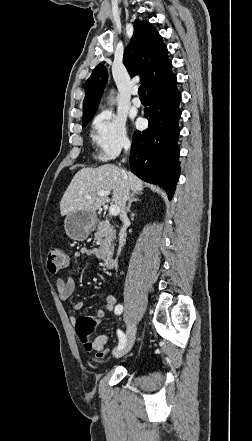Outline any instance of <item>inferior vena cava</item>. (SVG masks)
Masks as SVG:
<instances>
[{"mask_svg":"<svg viewBox=\"0 0 252 441\" xmlns=\"http://www.w3.org/2000/svg\"><path fill=\"white\" fill-rule=\"evenodd\" d=\"M128 150H129V147H126L125 151L127 152ZM124 161L125 160L123 159V162ZM129 196H130L129 190L127 188H125V190L123 192V199H122L121 213H120V219L123 223V226L119 232V252L121 251V249L124 246L125 241H126V223L128 221V217H127L126 210H125V204H126V201L129 199Z\"/></svg>","mask_w":252,"mask_h":441,"instance_id":"602c4592","label":"inferior vena cava"}]
</instances>
